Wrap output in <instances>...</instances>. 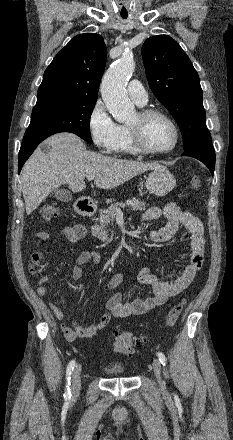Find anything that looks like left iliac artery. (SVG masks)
Returning <instances> with one entry per match:
<instances>
[{
    "mask_svg": "<svg viewBox=\"0 0 233 440\" xmlns=\"http://www.w3.org/2000/svg\"><path fill=\"white\" fill-rule=\"evenodd\" d=\"M157 356L159 358V361L161 362L162 365H166L167 359L165 357V355L162 352H158Z\"/></svg>",
    "mask_w": 233,
    "mask_h": 440,
    "instance_id": "obj_1",
    "label": "left iliac artery"
}]
</instances>
